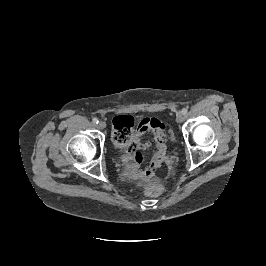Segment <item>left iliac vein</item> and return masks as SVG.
I'll list each match as a JSON object with an SVG mask.
<instances>
[{
    "label": "left iliac vein",
    "instance_id": "obj_1",
    "mask_svg": "<svg viewBox=\"0 0 266 266\" xmlns=\"http://www.w3.org/2000/svg\"><path fill=\"white\" fill-rule=\"evenodd\" d=\"M176 121H177L178 123H182V122L184 121V115H183L182 113H178V114L176 115Z\"/></svg>",
    "mask_w": 266,
    "mask_h": 266
}]
</instances>
